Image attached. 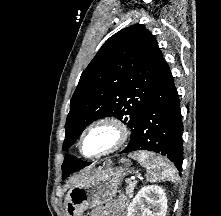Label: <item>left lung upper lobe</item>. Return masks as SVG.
<instances>
[{"label": "left lung upper lobe", "mask_w": 221, "mask_h": 216, "mask_svg": "<svg viewBox=\"0 0 221 216\" xmlns=\"http://www.w3.org/2000/svg\"><path fill=\"white\" fill-rule=\"evenodd\" d=\"M162 60L156 39L142 24L109 38L83 71L71 98L63 150L74 144L88 124L108 116L123 119L132 129V139ZM86 163L67 155L62 178Z\"/></svg>", "instance_id": "obj_1"}]
</instances>
